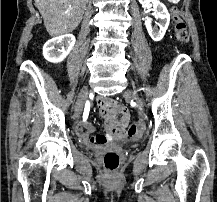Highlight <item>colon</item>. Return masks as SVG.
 <instances>
[{"instance_id":"5ec220e1","label":"colon","mask_w":217,"mask_h":202,"mask_svg":"<svg viewBox=\"0 0 217 202\" xmlns=\"http://www.w3.org/2000/svg\"><path fill=\"white\" fill-rule=\"evenodd\" d=\"M173 29H174V36L177 41L179 42H187L189 40V35L187 31V25L185 21L178 15L174 14L173 16ZM137 128L136 124H132L129 128V135H136ZM105 167L110 170L111 176H114L113 170L117 169L120 163V157L116 152H108L104 155L103 158Z\"/></svg>"}]
</instances>
